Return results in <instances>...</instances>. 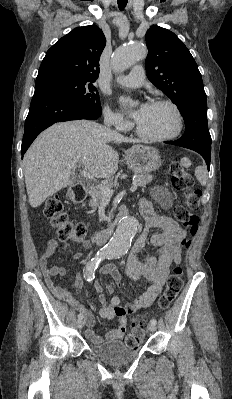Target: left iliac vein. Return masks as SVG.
Instances as JSON below:
<instances>
[{
  "instance_id": "left-iliac-vein-1",
  "label": "left iliac vein",
  "mask_w": 232,
  "mask_h": 399,
  "mask_svg": "<svg viewBox=\"0 0 232 399\" xmlns=\"http://www.w3.org/2000/svg\"><path fill=\"white\" fill-rule=\"evenodd\" d=\"M150 333H157V328L155 325L148 326Z\"/></svg>"
}]
</instances>
